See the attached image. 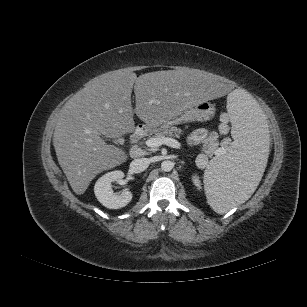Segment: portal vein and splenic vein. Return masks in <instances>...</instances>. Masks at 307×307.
Returning <instances> with one entry per match:
<instances>
[{
  "label": "portal vein and splenic vein",
  "mask_w": 307,
  "mask_h": 307,
  "mask_svg": "<svg viewBox=\"0 0 307 307\" xmlns=\"http://www.w3.org/2000/svg\"><path fill=\"white\" fill-rule=\"evenodd\" d=\"M145 144L151 148L159 147L161 145H167L176 149L181 147V144L176 139L170 137L150 138L145 142ZM222 152L223 150L219 149L217 155L222 154Z\"/></svg>",
  "instance_id": "1"
}]
</instances>
